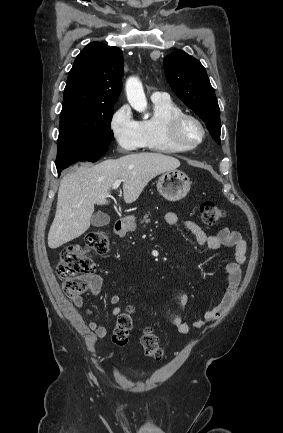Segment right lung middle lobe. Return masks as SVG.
Segmentation results:
<instances>
[{
	"label": "right lung middle lobe",
	"mask_w": 283,
	"mask_h": 433,
	"mask_svg": "<svg viewBox=\"0 0 283 433\" xmlns=\"http://www.w3.org/2000/svg\"><path fill=\"white\" fill-rule=\"evenodd\" d=\"M114 103L81 104L62 109L58 149L78 147L104 150L114 139L110 122Z\"/></svg>",
	"instance_id": "right-lung-middle-lobe-1"
}]
</instances>
